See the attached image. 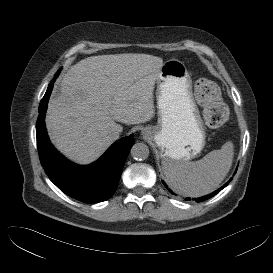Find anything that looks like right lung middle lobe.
<instances>
[{"label":"right lung middle lobe","mask_w":273,"mask_h":273,"mask_svg":"<svg viewBox=\"0 0 273 273\" xmlns=\"http://www.w3.org/2000/svg\"><path fill=\"white\" fill-rule=\"evenodd\" d=\"M59 72H60V71H58V72L56 73L55 78L59 75Z\"/></svg>","instance_id":"obj_1"}]
</instances>
